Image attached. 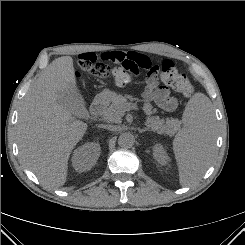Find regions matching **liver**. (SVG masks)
<instances>
[{"instance_id":"1","label":"liver","mask_w":245,"mask_h":245,"mask_svg":"<svg viewBox=\"0 0 245 245\" xmlns=\"http://www.w3.org/2000/svg\"><path fill=\"white\" fill-rule=\"evenodd\" d=\"M78 91L73 59H55L33 83L22 102L17 143L21 162L43 186L58 188L67 179L68 159L87 124L74 119L58 102L60 94Z\"/></svg>"}]
</instances>
